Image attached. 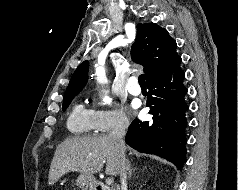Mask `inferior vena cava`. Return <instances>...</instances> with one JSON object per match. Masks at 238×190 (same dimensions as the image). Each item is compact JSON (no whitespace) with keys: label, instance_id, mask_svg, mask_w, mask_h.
<instances>
[{"label":"inferior vena cava","instance_id":"inferior-vena-cava-1","mask_svg":"<svg viewBox=\"0 0 238 190\" xmlns=\"http://www.w3.org/2000/svg\"><path fill=\"white\" fill-rule=\"evenodd\" d=\"M129 126V121L125 117H121L114 129L110 131L109 137L112 139L114 142L118 152H119V157H120V181H121V189L126 190L127 187V161L125 158V142H124V136L126 133V129ZM120 190V189H118Z\"/></svg>","mask_w":238,"mask_h":190}]
</instances>
